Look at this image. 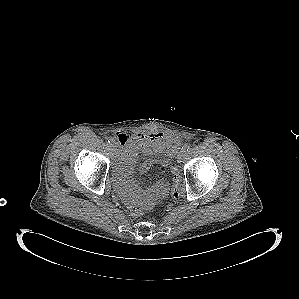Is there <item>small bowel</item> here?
I'll return each instance as SVG.
<instances>
[{"label":"small bowel","instance_id":"obj_1","mask_svg":"<svg viewBox=\"0 0 299 299\" xmlns=\"http://www.w3.org/2000/svg\"><path fill=\"white\" fill-rule=\"evenodd\" d=\"M116 138L123 146L118 156L117 183L127 198L133 197L138 189L137 184L130 179L138 153L142 152L147 156L163 155L159 158H149L140 165L139 172L146 173L156 164L169 166L180 144V139L177 136L162 133L152 135L117 132ZM167 191L168 183L160 180L143 192L142 196L148 200H155L164 196Z\"/></svg>","mask_w":299,"mask_h":299}]
</instances>
